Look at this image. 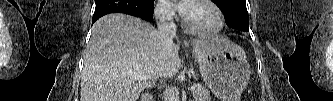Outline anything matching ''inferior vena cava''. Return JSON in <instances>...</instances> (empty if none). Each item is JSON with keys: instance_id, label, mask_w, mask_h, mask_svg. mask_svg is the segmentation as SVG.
<instances>
[{"instance_id": "obj_1", "label": "inferior vena cava", "mask_w": 333, "mask_h": 101, "mask_svg": "<svg viewBox=\"0 0 333 101\" xmlns=\"http://www.w3.org/2000/svg\"><path fill=\"white\" fill-rule=\"evenodd\" d=\"M157 26L162 46L167 49L173 44V38L176 36V26L169 13L157 15Z\"/></svg>"}]
</instances>
